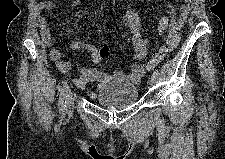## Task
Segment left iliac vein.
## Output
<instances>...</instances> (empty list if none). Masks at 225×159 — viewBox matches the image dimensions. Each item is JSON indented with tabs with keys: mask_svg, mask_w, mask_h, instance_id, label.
I'll use <instances>...</instances> for the list:
<instances>
[{
	"mask_svg": "<svg viewBox=\"0 0 225 159\" xmlns=\"http://www.w3.org/2000/svg\"><path fill=\"white\" fill-rule=\"evenodd\" d=\"M156 83V76H151V78L149 79V84L151 85V86H153L154 84Z\"/></svg>",
	"mask_w": 225,
	"mask_h": 159,
	"instance_id": "left-iliac-vein-1",
	"label": "left iliac vein"
}]
</instances>
